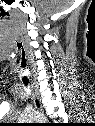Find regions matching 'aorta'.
Instances as JSON below:
<instances>
[{"instance_id": "762f6f07", "label": "aorta", "mask_w": 95, "mask_h": 126, "mask_svg": "<svg viewBox=\"0 0 95 126\" xmlns=\"http://www.w3.org/2000/svg\"><path fill=\"white\" fill-rule=\"evenodd\" d=\"M30 120H33V121H45L46 118L43 117V116H40V115H36L34 114L33 116L30 117Z\"/></svg>"}]
</instances>
